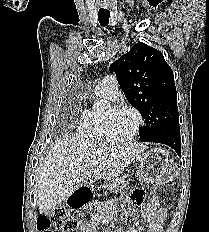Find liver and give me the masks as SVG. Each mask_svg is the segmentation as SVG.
I'll list each match as a JSON object with an SVG mask.
<instances>
[{
    "label": "liver",
    "instance_id": "6515ba94",
    "mask_svg": "<svg viewBox=\"0 0 209 232\" xmlns=\"http://www.w3.org/2000/svg\"><path fill=\"white\" fill-rule=\"evenodd\" d=\"M145 149L139 143H102L64 137L50 149L39 169L36 182L40 213L69 198L78 184L92 175L95 179H115ZM93 161H98L95 169Z\"/></svg>",
    "mask_w": 209,
    "mask_h": 232
}]
</instances>
